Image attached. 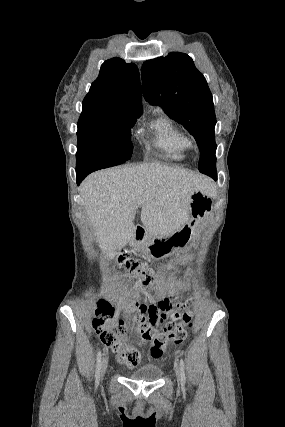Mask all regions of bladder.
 I'll use <instances>...</instances> for the list:
<instances>
[{"label": "bladder", "mask_w": 285, "mask_h": 427, "mask_svg": "<svg viewBox=\"0 0 285 427\" xmlns=\"http://www.w3.org/2000/svg\"><path fill=\"white\" fill-rule=\"evenodd\" d=\"M162 374L161 367L150 364L143 366L129 375V378L140 382H155Z\"/></svg>", "instance_id": "31cf9c89"}]
</instances>
